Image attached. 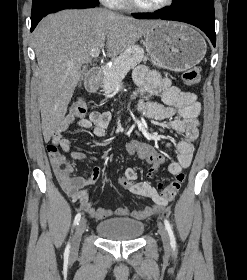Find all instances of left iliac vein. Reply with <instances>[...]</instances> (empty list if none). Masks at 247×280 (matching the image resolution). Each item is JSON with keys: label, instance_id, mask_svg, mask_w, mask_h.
<instances>
[{"label": "left iliac vein", "instance_id": "1", "mask_svg": "<svg viewBox=\"0 0 247 280\" xmlns=\"http://www.w3.org/2000/svg\"><path fill=\"white\" fill-rule=\"evenodd\" d=\"M159 226V233L161 235V239L166 250L170 249V237L166 230V228L162 225V223L158 224Z\"/></svg>", "mask_w": 247, "mask_h": 280}]
</instances>
